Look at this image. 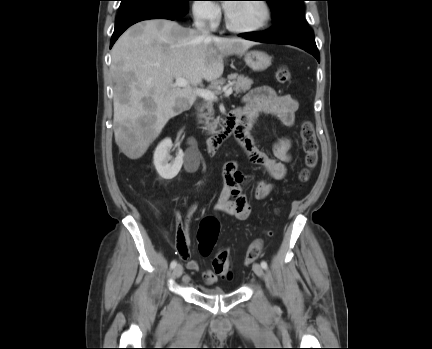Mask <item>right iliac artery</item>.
<instances>
[{"label": "right iliac artery", "mask_w": 432, "mask_h": 349, "mask_svg": "<svg viewBox=\"0 0 432 349\" xmlns=\"http://www.w3.org/2000/svg\"><path fill=\"white\" fill-rule=\"evenodd\" d=\"M176 265H177V262L175 260H173L170 264V267L173 269L176 267Z\"/></svg>", "instance_id": "obj_1"}]
</instances>
